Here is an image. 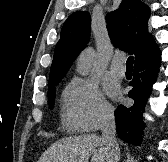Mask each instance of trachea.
Here are the masks:
<instances>
[{
  "label": "trachea",
  "mask_w": 168,
  "mask_h": 162,
  "mask_svg": "<svg viewBox=\"0 0 168 162\" xmlns=\"http://www.w3.org/2000/svg\"><path fill=\"white\" fill-rule=\"evenodd\" d=\"M134 58L133 56L128 57L126 65L127 67H133Z\"/></svg>",
  "instance_id": "3493384b"
}]
</instances>
